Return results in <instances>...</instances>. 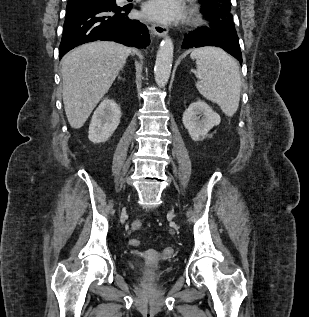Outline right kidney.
Listing matches in <instances>:
<instances>
[{"mask_svg": "<svg viewBox=\"0 0 309 317\" xmlns=\"http://www.w3.org/2000/svg\"><path fill=\"white\" fill-rule=\"evenodd\" d=\"M121 111L114 100L104 99L95 110L89 126L88 138L93 143L106 142L117 129Z\"/></svg>", "mask_w": 309, "mask_h": 317, "instance_id": "ca27d5eb", "label": "right kidney"}]
</instances>
